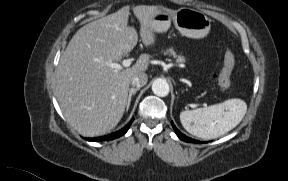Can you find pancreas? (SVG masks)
Instances as JSON below:
<instances>
[{"label":"pancreas","mask_w":288,"mask_h":181,"mask_svg":"<svg viewBox=\"0 0 288 181\" xmlns=\"http://www.w3.org/2000/svg\"><path fill=\"white\" fill-rule=\"evenodd\" d=\"M164 54H169V55H172L174 58H177L176 61H177L178 63H183V62H185V58H184L183 56H177V55H176V52H175L172 48L166 50V51L164 52Z\"/></svg>","instance_id":"cf45deb5"}]
</instances>
